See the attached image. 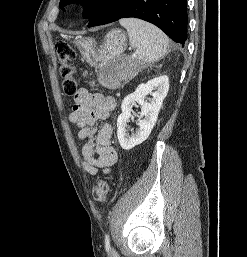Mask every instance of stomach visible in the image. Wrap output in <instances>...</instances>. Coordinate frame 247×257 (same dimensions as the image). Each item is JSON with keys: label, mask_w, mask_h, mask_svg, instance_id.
<instances>
[{"label": "stomach", "mask_w": 247, "mask_h": 257, "mask_svg": "<svg viewBox=\"0 0 247 257\" xmlns=\"http://www.w3.org/2000/svg\"><path fill=\"white\" fill-rule=\"evenodd\" d=\"M126 34L120 29L110 31L102 44L95 39L81 37L76 44L86 62L96 68H102L112 61L121 62L116 67V83L131 78L137 69L136 61H129L124 57Z\"/></svg>", "instance_id": "obj_1"}]
</instances>
